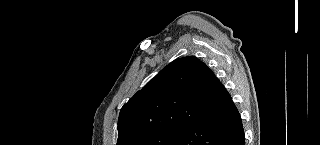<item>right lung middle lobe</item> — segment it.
<instances>
[{
  "label": "right lung middle lobe",
  "instance_id": "obj_1",
  "mask_svg": "<svg viewBox=\"0 0 320 145\" xmlns=\"http://www.w3.org/2000/svg\"><path fill=\"white\" fill-rule=\"evenodd\" d=\"M182 130V128H174L156 131L138 139L133 145H169Z\"/></svg>",
  "mask_w": 320,
  "mask_h": 145
}]
</instances>
